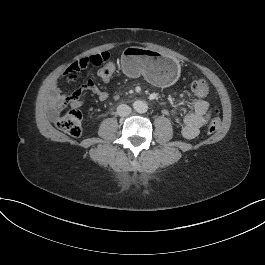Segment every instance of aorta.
<instances>
[{
  "mask_svg": "<svg viewBox=\"0 0 265 265\" xmlns=\"http://www.w3.org/2000/svg\"><path fill=\"white\" fill-rule=\"evenodd\" d=\"M134 110L138 113H146L148 111V105L143 101H136L133 104Z\"/></svg>",
  "mask_w": 265,
  "mask_h": 265,
  "instance_id": "1",
  "label": "aorta"
}]
</instances>
